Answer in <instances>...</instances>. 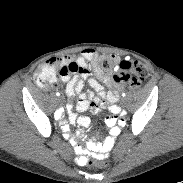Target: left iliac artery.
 <instances>
[{
	"label": "left iliac artery",
	"instance_id": "1",
	"mask_svg": "<svg viewBox=\"0 0 183 183\" xmlns=\"http://www.w3.org/2000/svg\"><path fill=\"white\" fill-rule=\"evenodd\" d=\"M122 96H123V97H125V96H126V94H125V93H123V94H122Z\"/></svg>",
	"mask_w": 183,
	"mask_h": 183
}]
</instances>
